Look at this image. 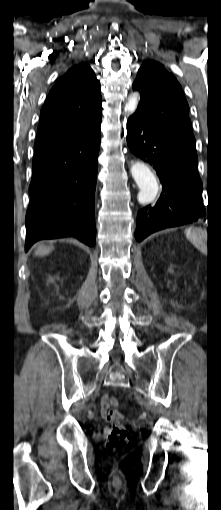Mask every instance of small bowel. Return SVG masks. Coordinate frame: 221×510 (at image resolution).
I'll return each mask as SVG.
<instances>
[{
	"mask_svg": "<svg viewBox=\"0 0 221 510\" xmlns=\"http://www.w3.org/2000/svg\"><path fill=\"white\" fill-rule=\"evenodd\" d=\"M110 399V396L104 395L100 400V411L105 419H107L106 417L110 411Z\"/></svg>",
	"mask_w": 221,
	"mask_h": 510,
	"instance_id": "small-bowel-1",
	"label": "small bowel"
}]
</instances>
